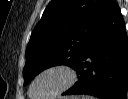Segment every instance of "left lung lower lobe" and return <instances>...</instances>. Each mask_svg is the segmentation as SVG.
<instances>
[{
    "mask_svg": "<svg viewBox=\"0 0 128 99\" xmlns=\"http://www.w3.org/2000/svg\"><path fill=\"white\" fill-rule=\"evenodd\" d=\"M73 69L80 77L63 95L86 94L100 99H127L128 37L115 0H108L84 53Z\"/></svg>",
    "mask_w": 128,
    "mask_h": 99,
    "instance_id": "left-lung-lower-lobe-1",
    "label": "left lung lower lobe"
}]
</instances>
